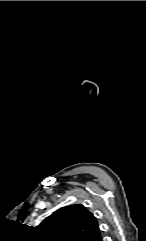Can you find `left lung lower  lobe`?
I'll use <instances>...</instances> for the list:
<instances>
[{
	"label": "left lung lower lobe",
	"instance_id": "0a47b994",
	"mask_svg": "<svg viewBox=\"0 0 146 241\" xmlns=\"http://www.w3.org/2000/svg\"><path fill=\"white\" fill-rule=\"evenodd\" d=\"M87 241H103L100 231L97 234H95L94 236L87 239Z\"/></svg>",
	"mask_w": 146,
	"mask_h": 241
}]
</instances>
